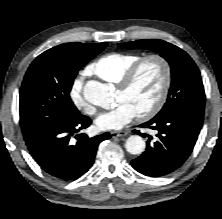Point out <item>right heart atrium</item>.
<instances>
[{
	"mask_svg": "<svg viewBox=\"0 0 222 219\" xmlns=\"http://www.w3.org/2000/svg\"><path fill=\"white\" fill-rule=\"evenodd\" d=\"M70 96L74 105L88 115L95 114V108L90 105L83 95V81L80 77H76L70 89Z\"/></svg>",
	"mask_w": 222,
	"mask_h": 219,
	"instance_id": "1",
	"label": "right heart atrium"
}]
</instances>
